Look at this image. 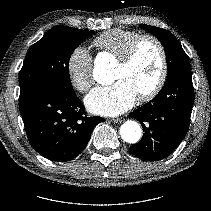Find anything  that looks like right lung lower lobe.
Wrapping results in <instances>:
<instances>
[{
	"label": "right lung lower lobe",
	"instance_id": "98d812e1",
	"mask_svg": "<svg viewBox=\"0 0 211 211\" xmlns=\"http://www.w3.org/2000/svg\"><path fill=\"white\" fill-rule=\"evenodd\" d=\"M20 113L31 146L45 158L66 162L86 147L94 127L103 122L88 117L75 92L41 85L20 94Z\"/></svg>",
	"mask_w": 211,
	"mask_h": 211
}]
</instances>
